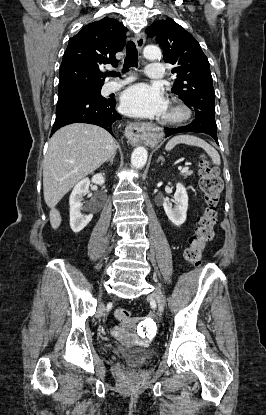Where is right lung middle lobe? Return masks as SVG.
Wrapping results in <instances>:
<instances>
[{"label": "right lung middle lobe", "mask_w": 266, "mask_h": 415, "mask_svg": "<svg viewBox=\"0 0 266 415\" xmlns=\"http://www.w3.org/2000/svg\"><path fill=\"white\" fill-rule=\"evenodd\" d=\"M66 98H98L103 99L101 96V87H93L87 89H80L71 92L58 94V99Z\"/></svg>", "instance_id": "1"}]
</instances>
